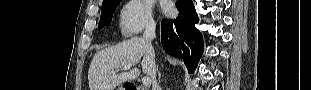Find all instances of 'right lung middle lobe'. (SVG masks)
Instances as JSON below:
<instances>
[{
    "label": "right lung middle lobe",
    "instance_id": "1",
    "mask_svg": "<svg viewBox=\"0 0 311 90\" xmlns=\"http://www.w3.org/2000/svg\"><path fill=\"white\" fill-rule=\"evenodd\" d=\"M118 0H111L107 3L102 4L101 19L98 24V28L102 29L105 26H109L112 21L113 12L118 5Z\"/></svg>",
    "mask_w": 311,
    "mask_h": 90
}]
</instances>
